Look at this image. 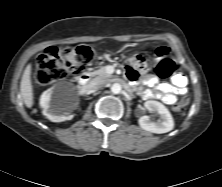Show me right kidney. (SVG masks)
<instances>
[{"instance_id": "right-kidney-1", "label": "right kidney", "mask_w": 222, "mask_h": 187, "mask_svg": "<svg viewBox=\"0 0 222 187\" xmlns=\"http://www.w3.org/2000/svg\"><path fill=\"white\" fill-rule=\"evenodd\" d=\"M40 105L43 108V114L52 122L71 120L74 116L64 111L65 102L57 96L55 88L43 92Z\"/></svg>"}]
</instances>
